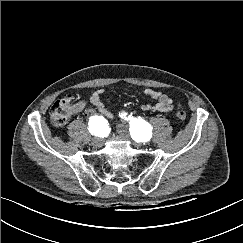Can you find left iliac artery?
<instances>
[{"mask_svg":"<svg viewBox=\"0 0 243 243\" xmlns=\"http://www.w3.org/2000/svg\"><path fill=\"white\" fill-rule=\"evenodd\" d=\"M130 119V117L128 118V120ZM145 121L142 119H135V118H131L130 121V134L132 136V138L136 141H145V139H143V136L145 137L146 134H148L149 129L147 130H143L141 125H144ZM149 126V125H148ZM148 126H146L148 128Z\"/></svg>","mask_w":243,"mask_h":243,"instance_id":"left-iliac-artery-1","label":"left iliac artery"}]
</instances>
